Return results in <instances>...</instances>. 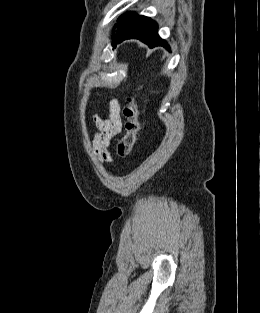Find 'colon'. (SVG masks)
<instances>
[{
  "label": "colon",
  "mask_w": 260,
  "mask_h": 313,
  "mask_svg": "<svg viewBox=\"0 0 260 313\" xmlns=\"http://www.w3.org/2000/svg\"><path fill=\"white\" fill-rule=\"evenodd\" d=\"M124 120V133L117 143V154L125 158L133 150L140 135L141 124L139 120V101L129 96L122 110Z\"/></svg>",
  "instance_id": "5ec220e1"
}]
</instances>
